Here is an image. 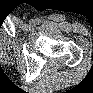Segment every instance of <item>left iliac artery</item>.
Returning a JSON list of instances; mask_svg holds the SVG:
<instances>
[{"instance_id": "left-iliac-artery-1", "label": "left iliac artery", "mask_w": 93, "mask_h": 93, "mask_svg": "<svg viewBox=\"0 0 93 93\" xmlns=\"http://www.w3.org/2000/svg\"><path fill=\"white\" fill-rule=\"evenodd\" d=\"M35 23H36L37 25H39V24L41 23V20H40V19H36Z\"/></svg>"}]
</instances>
